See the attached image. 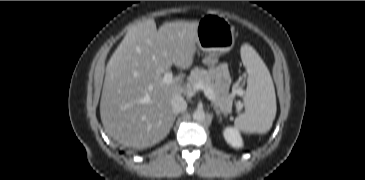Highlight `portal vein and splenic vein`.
Instances as JSON below:
<instances>
[{
  "label": "portal vein and splenic vein",
  "mask_w": 365,
  "mask_h": 180,
  "mask_svg": "<svg viewBox=\"0 0 365 180\" xmlns=\"http://www.w3.org/2000/svg\"><path fill=\"white\" fill-rule=\"evenodd\" d=\"M163 82L167 85H172V84H176L178 82V79H174L173 77V73L168 71L164 74L163 76ZM203 90L205 96L212 102H215L216 97L214 95V93L212 92V90L206 86H204L203 84H198L196 87H194V89L192 91H187V95L188 96H193L196 93V90Z\"/></svg>",
  "instance_id": "1"
}]
</instances>
